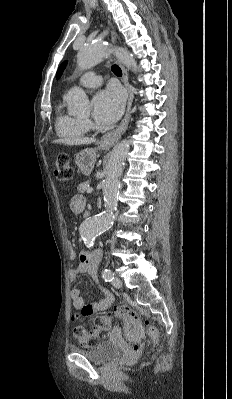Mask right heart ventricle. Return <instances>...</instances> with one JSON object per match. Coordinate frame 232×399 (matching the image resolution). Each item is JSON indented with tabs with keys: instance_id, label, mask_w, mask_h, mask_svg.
Here are the masks:
<instances>
[{
	"instance_id": "e07e8e85",
	"label": "right heart ventricle",
	"mask_w": 232,
	"mask_h": 399,
	"mask_svg": "<svg viewBox=\"0 0 232 399\" xmlns=\"http://www.w3.org/2000/svg\"><path fill=\"white\" fill-rule=\"evenodd\" d=\"M54 130L59 138L68 142H75L85 137L89 130V124L82 118L58 111Z\"/></svg>"
}]
</instances>
